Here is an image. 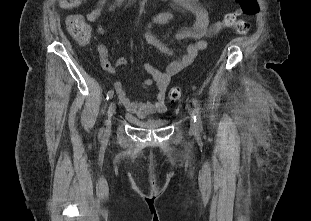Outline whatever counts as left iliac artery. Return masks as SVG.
<instances>
[{"label": "left iliac artery", "instance_id": "left-iliac-artery-1", "mask_svg": "<svg viewBox=\"0 0 311 221\" xmlns=\"http://www.w3.org/2000/svg\"><path fill=\"white\" fill-rule=\"evenodd\" d=\"M192 104H193L194 122L197 124L198 127H201L202 122L198 101L195 98H192Z\"/></svg>", "mask_w": 311, "mask_h": 221}]
</instances>
